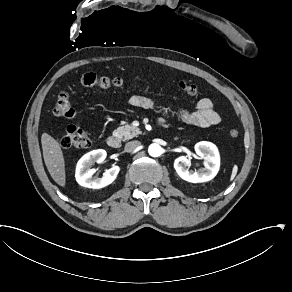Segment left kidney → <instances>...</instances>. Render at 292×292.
I'll return each mask as SVG.
<instances>
[{
    "label": "left kidney",
    "instance_id": "obj_1",
    "mask_svg": "<svg viewBox=\"0 0 292 292\" xmlns=\"http://www.w3.org/2000/svg\"><path fill=\"white\" fill-rule=\"evenodd\" d=\"M195 151L197 155L204 159V168L195 172L190 171L188 166L191 161L185 156L178 157L174 161V168L178 175L188 182L201 183L210 181L217 175L220 167L218 148L211 142L201 141L195 145Z\"/></svg>",
    "mask_w": 292,
    "mask_h": 292
}]
</instances>
